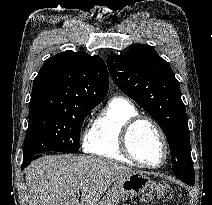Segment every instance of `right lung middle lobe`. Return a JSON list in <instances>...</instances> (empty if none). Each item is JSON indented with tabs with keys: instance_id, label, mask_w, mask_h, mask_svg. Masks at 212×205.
Returning <instances> with one entry per match:
<instances>
[{
	"instance_id": "obj_1",
	"label": "right lung middle lobe",
	"mask_w": 212,
	"mask_h": 205,
	"mask_svg": "<svg viewBox=\"0 0 212 205\" xmlns=\"http://www.w3.org/2000/svg\"><path fill=\"white\" fill-rule=\"evenodd\" d=\"M95 106L29 107L23 159L50 151L77 152L81 125Z\"/></svg>"
}]
</instances>
